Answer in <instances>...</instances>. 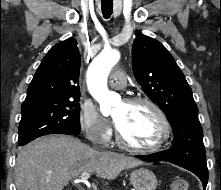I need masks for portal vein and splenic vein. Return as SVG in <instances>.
I'll return each mask as SVG.
<instances>
[{
	"label": "portal vein and splenic vein",
	"instance_id": "18ae733b",
	"mask_svg": "<svg viewBox=\"0 0 221 190\" xmlns=\"http://www.w3.org/2000/svg\"><path fill=\"white\" fill-rule=\"evenodd\" d=\"M90 177V173L88 172H83L80 176V181L82 182H87L88 178Z\"/></svg>",
	"mask_w": 221,
	"mask_h": 190
}]
</instances>
